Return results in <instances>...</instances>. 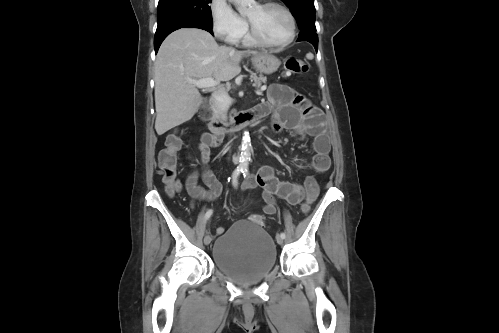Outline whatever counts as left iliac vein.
I'll return each mask as SVG.
<instances>
[{
	"label": "left iliac vein",
	"instance_id": "obj_1",
	"mask_svg": "<svg viewBox=\"0 0 499 333\" xmlns=\"http://www.w3.org/2000/svg\"><path fill=\"white\" fill-rule=\"evenodd\" d=\"M276 241L279 245H282L283 242H284V239L280 236V235H277L276 236Z\"/></svg>",
	"mask_w": 499,
	"mask_h": 333
}]
</instances>
